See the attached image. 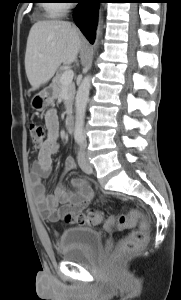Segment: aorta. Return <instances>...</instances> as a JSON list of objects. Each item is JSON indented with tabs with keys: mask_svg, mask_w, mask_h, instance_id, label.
Wrapping results in <instances>:
<instances>
[{
	"mask_svg": "<svg viewBox=\"0 0 181 300\" xmlns=\"http://www.w3.org/2000/svg\"><path fill=\"white\" fill-rule=\"evenodd\" d=\"M100 34H101V19H99L94 47L98 43V37ZM90 86H91V75H86L83 78L81 84L79 85L76 94L74 138L77 140L84 139V118H85L86 107L89 98Z\"/></svg>",
	"mask_w": 181,
	"mask_h": 300,
	"instance_id": "obj_1",
	"label": "aorta"
}]
</instances>
